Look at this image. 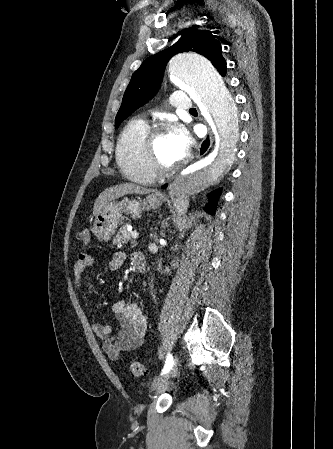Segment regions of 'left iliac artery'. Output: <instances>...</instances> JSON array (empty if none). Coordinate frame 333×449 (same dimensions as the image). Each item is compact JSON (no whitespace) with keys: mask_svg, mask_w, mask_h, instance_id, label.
I'll return each instance as SVG.
<instances>
[{"mask_svg":"<svg viewBox=\"0 0 333 449\" xmlns=\"http://www.w3.org/2000/svg\"><path fill=\"white\" fill-rule=\"evenodd\" d=\"M173 364H174L173 357L171 354H168L161 375L168 373L170 369L173 367Z\"/></svg>","mask_w":333,"mask_h":449,"instance_id":"44dca946","label":"left iliac artery"}]
</instances>
